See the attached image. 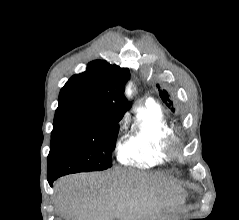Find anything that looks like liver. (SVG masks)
I'll list each match as a JSON object with an SVG mask.
<instances>
[{
	"label": "liver",
	"instance_id": "obj_1",
	"mask_svg": "<svg viewBox=\"0 0 239 220\" xmlns=\"http://www.w3.org/2000/svg\"><path fill=\"white\" fill-rule=\"evenodd\" d=\"M176 183L134 169L117 168L63 177L54 185L53 202L67 220H147L184 202Z\"/></svg>",
	"mask_w": 239,
	"mask_h": 220
}]
</instances>
